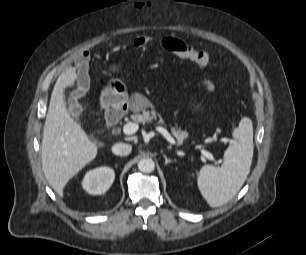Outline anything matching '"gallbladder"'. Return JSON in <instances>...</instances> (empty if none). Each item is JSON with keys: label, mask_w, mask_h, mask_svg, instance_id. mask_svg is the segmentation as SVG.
Here are the masks:
<instances>
[{"label": "gallbladder", "mask_w": 306, "mask_h": 255, "mask_svg": "<svg viewBox=\"0 0 306 255\" xmlns=\"http://www.w3.org/2000/svg\"><path fill=\"white\" fill-rule=\"evenodd\" d=\"M68 103H69V111H72L73 108L78 106L75 92L71 94V97L69 98Z\"/></svg>", "instance_id": "obj_1"}]
</instances>
